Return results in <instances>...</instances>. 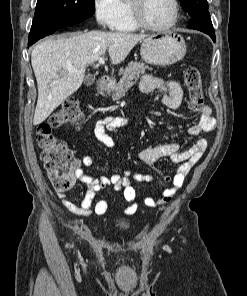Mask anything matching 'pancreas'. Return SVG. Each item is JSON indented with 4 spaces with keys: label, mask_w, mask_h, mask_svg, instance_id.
Returning a JSON list of instances; mask_svg holds the SVG:
<instances>
[{
    "label": "pancreas",
    "mask_w": 247,
    "mask_h": 296,
    "mask_svg": "<svg viewBox=\"0 0 247 296\" xmlns=\"http://www.w3.org/2000/svg\"><path fill=\"white\" fill-rule=\"evenodd\" d=\"M146 69L152 70L144 63L131 62L128 67L125 68L124 73L120 81L115 84L113 92V100H119L124 97L128 89L133 86L134 81L139 79L141 74H144Z\"/></svg>",
    "instance_id": "pancreas-1"
}]
</instances>
